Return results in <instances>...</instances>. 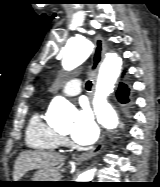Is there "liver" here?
Here are the masks:
<instances>
[{
  "label": "liver",
  "mask_w": 160,
  "mask_h": 187,
  "mask_svg": "<svg viewBox=\"0 0 160 187\" xmlns=\"http://www.w3.org/2000/svg\"><path fill=\"white\" fill-rule=\"evenodd\" d=\"M65 159L60 154H53L40 151H24L15 161L13 179L18 181L28 171L39 169L45 170L57 166Z\"/></svg>",
  "instance_id": "liver-1"
}]
</instances>
